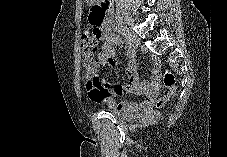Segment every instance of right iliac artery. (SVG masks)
I'll return each mask as SVG.
<instances>
[{"label": "right iliac artery", "mask_w": 227, "mask_h": 157, "mask_svg": "<svg viewBox=\"0 0 227 157\" xmlns=\"http://www.w3.org/2000/svg\"><path fill=\"white\" fill-rule=\"evenodd\" d=\"M115 36H116V35H115ZM116 37H118V36H116ZM120 39H122V40L125 42L126 37H125V36H121ZM124 46H125V51H126V53H131L132 50H131V48H130L129 43H128V42H125V43H124Z\"/></svg>", "instance_id": "obj_1"}]
</instances>
